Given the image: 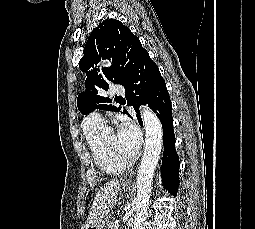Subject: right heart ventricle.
I'll return each mask as SVG.
<instances>
[{
	"mask_svg": "<svg viewBox=\"0 0 255 229\" xmlns=\"http://www.w3.org/2000/svg\"><path fill=\"white\" fill-rule=\"evenodd\" d=\"M83 121L82 128L86 143L95 165L109 176H117L124 172L125 167L114 162L105 152L102 145V127H86Z\"/></svg>",
	"mask_w": 255,
	"mask_h": 229,
	"instance_id": "right-heart-ventricle-1",
	"label": "right heart ventricle"
}]
</instances>
